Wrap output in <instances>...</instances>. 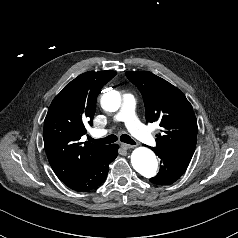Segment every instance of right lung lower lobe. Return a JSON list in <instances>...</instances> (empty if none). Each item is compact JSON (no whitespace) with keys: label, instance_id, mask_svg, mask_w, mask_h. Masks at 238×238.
<instances>
[{"label":"right lung lower lobe","instance_id":"obj_1","mask_svg":"<svg viewBox=\"0 0 238 238\" xmlns=\"http://www.w3.org/2000/svg\"><path fill=\"white\" fill-rule=\"evenodd\" d=\"M117 155L118 145H108L81 172L63 183L77 192H87L97 188L104 182L108 174V166Z\"/></svg>","mask_w":238,"mask_h":238}]
</instances>
